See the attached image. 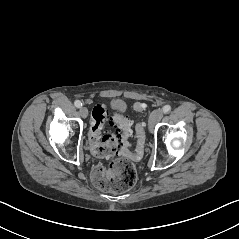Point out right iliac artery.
<instances>
[{
  "instance_id": "obj_1",
  "label": "right iliac artery",
  "mask_w": 239,
  "mask_h": 239,
  "mask_svg": "<svg viewBox=\"0 0 239 239\" xmlns=\"http://www.w3.org/2000/svg\"><path fill=\"white\" fill-rule=\"evenodd\" d=\"M74 105H75L77 108H80V107L82 106V103H81V101L76 100V101L74 102Z\"/></svg>"
}]
</instances>
